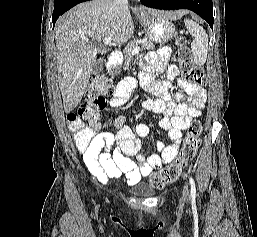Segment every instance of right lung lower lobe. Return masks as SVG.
Here are the masks:
<instances>
[{"mask_svg":"<svg viewBox=\"0 0 257 237\" xmlns=\"http://www.w3.org/2000/svg\"><path fill=\"white\" fill-rule=\"evenodd\" d=\"M89 0H55L54 11L52 15L53 27L56 20L65 13L67 10L77 5L78 3L85 2Z\"/></svg>","mask_w":257,"mask_h":237,"instance_id":"98d812e1","label":"right lung lower lobe"}]
</instances>
